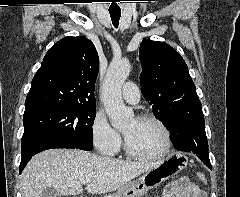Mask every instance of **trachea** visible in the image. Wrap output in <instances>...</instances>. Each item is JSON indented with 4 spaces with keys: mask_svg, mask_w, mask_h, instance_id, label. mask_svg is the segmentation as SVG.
Segmentation results:
<instances>
[{
    "mask_svg": "<svg viewBox=\"0 0 240 197\" xmlns=\"http://www.w3.org/2000/svg\"><path fill=\"white\" fill-rule=\"evenodd\" d=\"M110 16H111L113 25L117 28L119 25L121 13L120 12H110Z\"/></svg>",
    "mask_w": 240,
    "mask_h": 197,
    "instance_id": "obj_1",
    "label": "trachea"
}]
</instances>
